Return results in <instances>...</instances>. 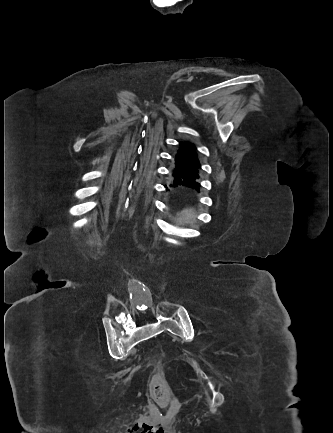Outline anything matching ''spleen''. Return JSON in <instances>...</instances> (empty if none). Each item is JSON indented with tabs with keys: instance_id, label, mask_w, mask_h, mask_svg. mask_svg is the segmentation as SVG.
<instances>
[{
	"instance_id": "spleen-1",
	"label": "spleen",
	"mask_w": 333,
	"mask_h": 433,
	"mask_svg": "<svg viewBox=\"0 0 333 433\" xmlns=\"http://www.w3.org/2000/svg\"><path fill=\"white\" fill-rule=\"evenodd\" d=\"M184 212H188V209H184ZM175 218H185L184 220H180L179 224H188L193 223L195 221L194 219V212L189 213H175Z\"/></svg>"
}]
</instances>
